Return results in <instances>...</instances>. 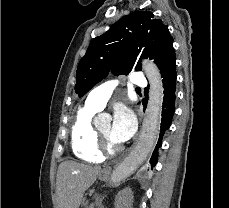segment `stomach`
<instances>
[{
	"label": "stomach",
	"instance_id": "stomach-1",
	"mask_svg": "<svg viewBox=\"0 0 229 208\" xmlns=\"http://www.w3.org/2000/svg\"><path fill=\"white\" fill-rule=\"evenodd\" d=\"M109 176L110 170H103V172L99 174V180H101V182H107V180H109Z\"/></svg>",
	"mask_w": 229,
	"mask_h": 208
}]
</instances>
